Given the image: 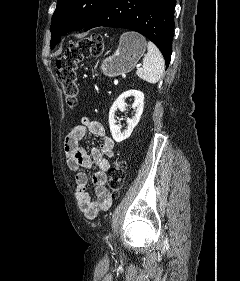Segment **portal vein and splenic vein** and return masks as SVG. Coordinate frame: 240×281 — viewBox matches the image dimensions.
<instances>
[{
  "instance_id": "1",
  "label": "portal vein and splenic vein",
  "mask_w": 240,
  "mask_h": 281,
  "mask_svg": "<svg viewBox=\"0 0 240 281\" xmlns=\"http://www.w3.org/2000/svg\"><path fill=\"white\" fill-rule=\"evenodd\" d=\"M138 67H140V65H138L137 68H138ZM114 84H115V85L118 84V80H117V79L114 80Z\"/></svg>"
}]
</instances>
